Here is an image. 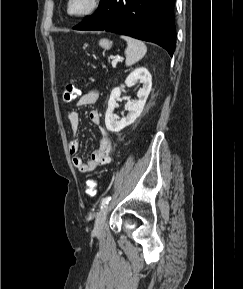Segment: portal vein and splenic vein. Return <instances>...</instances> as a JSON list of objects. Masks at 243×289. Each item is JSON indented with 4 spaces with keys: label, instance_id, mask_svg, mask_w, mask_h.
Instances as JSON below:
<instances>
[{
    "label": "portal vein and splenic vein",
    "instance_id": "1",
    "mask_svg": "<svg viewBox=\"0 0 243 289\" xmlns=\"http://www.w3.org/2000/svg\"><path fill=\"white\" fill-rule=\"evenodd\" d=\"M120 61V59H114L112 60V66H116V64Z\"/></svg>",
    "mask_w": 243,
    "mask_h": 289
}]
</instances>
